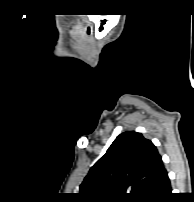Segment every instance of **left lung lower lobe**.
<instances>
[{
  "mask_svg": "<svg viewBox=\"0 0 194 202\" xmlns=\"http://www.w3.org/2000/svg\"><path fill=\"white\" fill-rule=\"evenodd\" d=\"M171 191V184L167 171H165L161 177L160 184L156 190V195L152 202H169V199L172 196Z\"/></svg>",
  "mask_w": 194,
  "mask_h": 202,
  "instance_id": "1",
  "label": "left lung lower lobe"
}]
</instances>
